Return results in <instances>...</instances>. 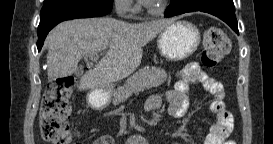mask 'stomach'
<instances>
[{
  "instance_id": "obj_1",
  "label": "stomach",
  "mask_w": 273,
  "mask_h": 144,
  "mask_svg": "<svg viewBox=\"0 0 273 144\" xmlns=\"http://www.w3.org/2000/svg\"><path fill=\"white\" fill-rule=\"evenodd\" d=\"M198 28L187 21H175L168 25L158 36L157 46L162 56L179 61L193 54L200 43ZM114 89H96L87 95L88 105L95 110L109 106Z\"/></svg>"
}]
</instances>
